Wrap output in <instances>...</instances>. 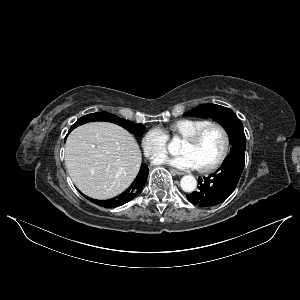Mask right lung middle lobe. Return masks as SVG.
Returning <instances> with one entry per match:
<instances>
[{"label": "right lung middle lobe", "mask_w": 300, "mask_h": 300, "mask_svg": "<svg viewBox=\"0 0 300 300\" xmlns=\"http://www.w3.org/2000/svg\"><path fill=\"white\" fill-rule=\"evenodd\" d=\"M91 121H108L116 123L125 129H127L129 132L134 133L136 135H142L144 133V125L143 124H136L132 121H128L125 119H120L119 117L115 116L114 114L107 113V112H100V113H91L88 115H85L78 119L70 128L69 132L76 128L79 125H82L84 123H88Z\"/></svg>", "instance_id": "1"}]
</instances>
